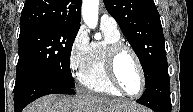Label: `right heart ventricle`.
<instances>
[{
	"mask_svg": "<svg viewBox=\"0 0 193 112\" xmlns=\"http://www.w3.org/2000/svg\"><path fill=\"white\" fill-rule=\"evenodd\" d=\"M104 39L90 44L86 63L79 74L80 83L88 90L100 94L120 97L122 94L110 83L105 70L107 47L122 42L120 32L102 28Z\"/></svg>",
	"mask_w": 193,
	"mask_h": 112,
	"instance_id": "1",
	"label": "right heart ventricle"
}]
</instances>
